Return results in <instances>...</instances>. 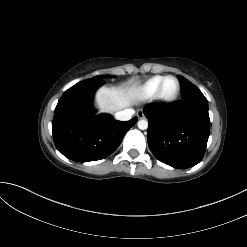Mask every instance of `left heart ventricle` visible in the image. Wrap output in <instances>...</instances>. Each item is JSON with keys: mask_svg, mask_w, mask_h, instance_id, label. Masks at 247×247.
I'll return each mask as SVG.
<instances>
[{"mask_svg": "<svg viewBox=\"0 0 247 247\" xmlns=\"http://www.w3.org/2000/svg\"><path fill=\"white\" fill-rule=\"evenodd\" d=\"M176 90V81L174 79H168L163 87V94L165 96H171Z\"/></svg>", "mask_w": 247, "mask_h": 247, "instance_id": "1", "label": "left heart ventricle"}]
</instances>
